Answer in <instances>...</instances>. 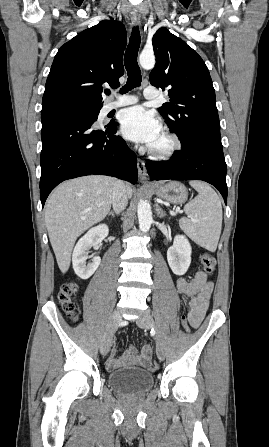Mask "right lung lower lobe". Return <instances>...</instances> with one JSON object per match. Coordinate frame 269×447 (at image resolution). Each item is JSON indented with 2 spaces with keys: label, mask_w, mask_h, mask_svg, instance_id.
<instances>
[{
  "label": "right lung lower lobe",
  "mask_w": 269,
  "mask_h": 447,
  "mask_svg": "<svg viewBox=\"0 0 269 447\" xmlns=\"http://www.w3.org/2000/svg\"><path fill=\"white\" fill-rule=\"evenodd\" d=\"M96 120L78 113L74 106L42 110V207L59 183L83 175H109L136 184V155L115 135L118 123L94 130L91 126Z\"/></svg>",
  "instance_id": "98d812e1"
}]
</instances>
